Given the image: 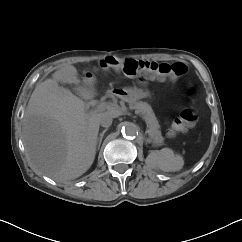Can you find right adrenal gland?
Listing matches in <instances>:
<instances>
[{
    "mask_svg": "<svg viewBox=\"0 0 242 242\" xmlns=\"http://www.w3.org/2000/svg\"><path fill=\"white\" fill-rule=\"evenodd\" d=\"M108 128L104 129L100 134L99 137L97 138V143H98V149L101 146L102 140H103V136L104 134L107 132Z\"/></svg>",
    "mask_w": 242,
    "mask_h": 242,
    "instance_id": "2a0ac1e0",
    "label": "right adrenal gland"
}]
</instances>
